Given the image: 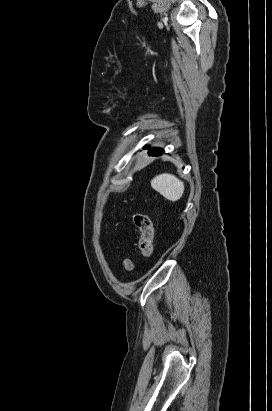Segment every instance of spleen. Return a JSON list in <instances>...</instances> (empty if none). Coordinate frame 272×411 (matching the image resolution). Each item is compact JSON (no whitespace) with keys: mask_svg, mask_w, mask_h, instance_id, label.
<instances>
[{"mask_svg":"<svg viewBox=\"0 0 272 411\" xmlns=\"http://www.w3.org/2000/svg\"><path fill=\"white\" fill-rule=\"evenodd\" d=\"M151 187L172 202L179 200L184 192V183L168 173L154 177L151 180Z\"/></svg>","mask_w":272,"mask_h":411,"instance_id":"spleen-1","label":"spleen"}]
</instances>
